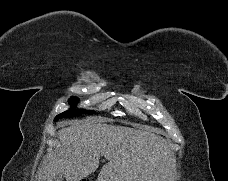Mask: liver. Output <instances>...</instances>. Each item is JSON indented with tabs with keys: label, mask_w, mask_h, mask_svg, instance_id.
Instances as JSON below:
<instances>
[{
	"label": "liver",
	"mask_w": 228,
	"mask_h": 181,
	"mask_svg": "<svg viewBox=\"0 0 228 181\" xmlns=\"http://www.w3.org/2000/svg\"><path fill=\"white\" fill-rule=\"evenodd\" d=\"M70 125V127H68ZM49 163L40 171L38 181H82L102 167L98 181H172L175 159L167 141L156 131L107 125L106 119L63 123Z\"/></svg>",
	"instance_id": "1"
}]
</instances>
